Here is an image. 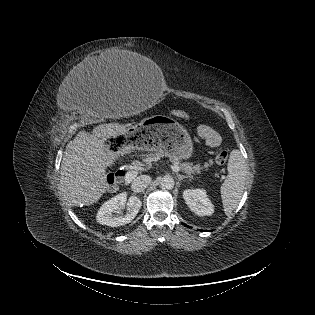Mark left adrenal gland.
<instances>
[{
    "label": "left adrenal gland",
    "instance_id": "obj_1",
    "mask_svg": "<svg viewBox=\"0 0 315 315\" xmlns=\"http://www.w3.org/2000/svg\"><path fill=\"white\" fill-rule=\"evenodd\" d=\"M177 177H178V180L181 181L185 178H190V176H184V175H180V174H177Z\"/></svg>",
    "mask_w": 315,
    "mask_h": 315
}]
</instances>
